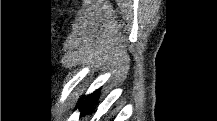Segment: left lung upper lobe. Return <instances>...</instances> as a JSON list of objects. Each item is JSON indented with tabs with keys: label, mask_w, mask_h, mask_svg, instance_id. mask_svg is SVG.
<instances>
[{
	"label": "left lung upper lobe",
	"mask_w": 217,
	"mask_h": 121,
	"mask_svg": "<svg viewBox=\"0 0 217 121\" xmlns=\"http://www.w3.org/2000/svg\"><path fill=\"white\" fill-rule=\"evenodd\" d=\"M87 99H88V97L86 98V101H83V98H81L80 101L77 104V107L80 108L81 113H82L84 107L86 106Z\"/></svg>",
	"instance_id": "5c2ea615"
}]
</instances>
